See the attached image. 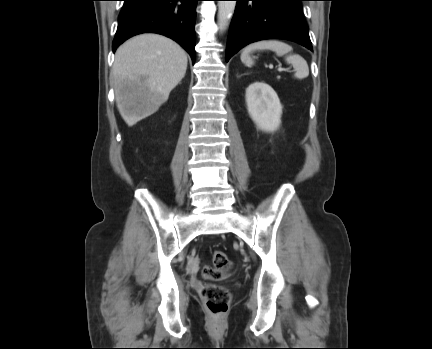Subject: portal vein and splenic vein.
<instances>
[{
	"label": "portal vein and splenic vein",
	"instance_id": "18ae733b",
	"mask_svg": "<svg viewBox=\"0 0 432 349\" xmlns=\"http://www.w3.org/2000/svg\"><path fill=\"white\" fill-rule=\"evenodd\" d=\"M269 67L272 68V65H270ZM284 70H285V69L282 68V67H279V68H278V71H279V72H282V71H284Z\"/></svg>",
	"mask_w": 432,
	"mask_h": 349
}]
</instances>
